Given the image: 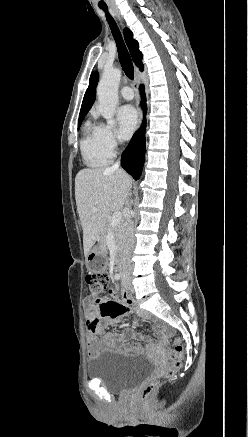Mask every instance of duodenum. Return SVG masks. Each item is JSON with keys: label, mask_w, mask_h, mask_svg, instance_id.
Here are the masks:
<instances>
[{"label": "duodenum", "mask_w": 248, "mask_h": 437, "mask_svg": "<svg viewBox=\"0 0 248 437\" xmlns=\"http://www.w3.org/2000/svg\"><path fill=\"white\" fill-rule=\"evenodd\" d=\"M121 265H122V257H121V255L119 254V255H117L116 258H115L114 266H115L116 269H120V268H121Z\"/></svg>", "instance_id": "410a0bca"}]
</instances>
